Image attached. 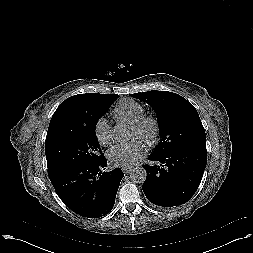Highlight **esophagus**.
Returning <instances> with one entry per match:
<instances>
[{
    "instance_id": "34e87169",
    "label": "esophagus",
    "mask_w": 253,
    "mask_h": 253,
    "mask_svg": "<svg viewBox=\"0 0 253 253\" xmlns=\"http://www.w3.org/2000/svg\"><path fill=\"white\" fill-rule=\"evenodd\" d=\"M124 173H130L132 171V167L131 166H125L122 168Z\"/></svg>"
}]
</instances>
